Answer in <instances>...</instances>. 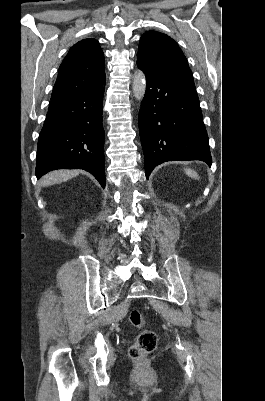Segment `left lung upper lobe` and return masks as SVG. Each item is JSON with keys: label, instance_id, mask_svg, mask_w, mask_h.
<instances>
[{"label": "left lung upper lobe", "instance_id": "obj_1", "mask_svg": "<svg viewBox=\"0 0 265 401\" xmlns=\"http://www.w3.org/2000/svg\"><path fill=\"white\" fill-rule=\"evenodd\" d=\"M137 64L161 76L193 80L187 59L178 44L168 35L157 31L142 35Z\"/></svg>", "mask_w": 265, "mask_h": 401}]
</instances>
